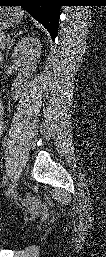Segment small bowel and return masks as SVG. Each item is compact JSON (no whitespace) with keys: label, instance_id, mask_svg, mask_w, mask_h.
Returning a JSON list of instances; mask_svg holds the SVG:
<instances>
[{"label":"small bowel","instance_id":"obj_1","mask_svg":"<svg viewBox=\"0 0 106 257\" xmlns=\"http://www.w3.org/2000/svg\"><path fill=\"white\" fill-rule=\"evenodd\" d=\"M1 115H2V109H1ZM0 126H1L0 128L2 129V121H1V124H0Z\"/></svg>","mask_w":106,"mask_h":257}]
</instances>
